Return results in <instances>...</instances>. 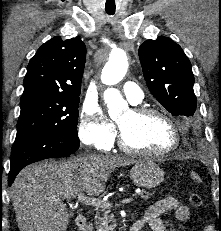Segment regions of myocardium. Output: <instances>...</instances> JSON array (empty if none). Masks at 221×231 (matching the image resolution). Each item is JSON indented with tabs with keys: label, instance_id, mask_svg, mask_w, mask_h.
Returning <instances> with one entry per match:
<instances>
[{
	"label": "myocardium",
	"instance_id": "myocardium-1",
	"mask_svg": "<svg viewBox=\"0 0 221 231\" xmlns=\"http://www.w3.org/2000/svg\"><path fill=\"white\" fill-rule=\"evenodd\" d=\"M131 112L133 113V115L136 118H143L146 116L156 115V116H159V117L165 119L171 125V127L173 129L174 143L170 148H168L164 151H160V152H154V151L140 149V148L133 146L132 144H130L127 141L124 131L118 125V128H119L118 145L123 151L131 153V154L145 155V156L155 157V158H162V157H166V156L170 155L171 153L175 152L179 148L180 143H181V133H180L179 126L172 115H170L168 112H166L162 109L155 108V107H149V106H137V107L132 108Z\"/></svg>",
	"mask_w": 221,
	"mask_h": 231
}]
</instances>
